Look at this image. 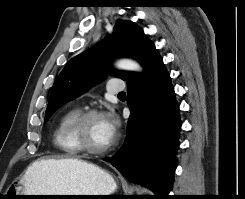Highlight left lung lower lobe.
I'll use <instances>...</instances> for the list:
<instances>
[{"label": "left lung lower lobe", "instance_id": "obj_1", "mask_svg": "<svg viewBox=\"0 0 245 199\" xmlns=\"http://www.w3.org/2000/svg\"><path fill=\"white\" fill-rule=\"evenodd\" d=\"M128 135L110 162L129 181L149 187L157 199H166L176 169L179 107L170 75L157 51L144 73L127 82Z\"/></svg>", "mask_w": 245, "mask_h": 199}]
</instances>
